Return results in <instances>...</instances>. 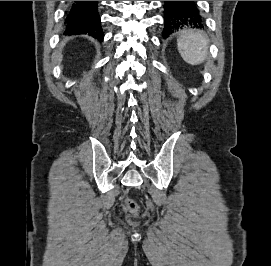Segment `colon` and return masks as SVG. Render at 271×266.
Masks as SVG:
<instances>
[{
	"mask_svg": "<svg viewBox=\"0 0 271 266\" xmlns=\"http://www.w3.org/2000/svg\"><path fill=\"white\" fill-rule=\"evenodd\" d=\"M124 207L132 215H137V213L139 211V207H138L137 203L131 198H125Z\"/></svg>",
	"mask_w": 271,
	"mask_h": 266,
	"instance_id": "obj_1",
	"label": "colon"
}]
</instances>
